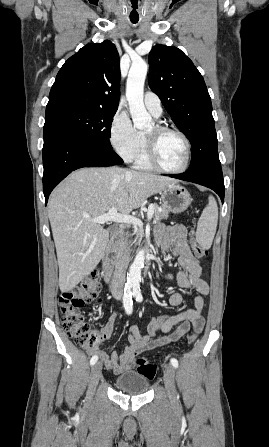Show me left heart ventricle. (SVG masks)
<instances>
[{"instance_id":"b2bd125f","label":"left heart ventricle","mask_w":269,"mask_h":447,"mask_svg":"<svg viewBox=\"0 0 269 447\" xmlns=\"http://www.w3.org/2000/svg\"><path fill=\"white\" fill-rule=\"evenodd\" d=\"M146 136L154 141L159 160L164 166L176 169L183 165L186 145L179 135L172 132L160 133L154 126L146 133Z\"/></svg>"}]
</instances>
